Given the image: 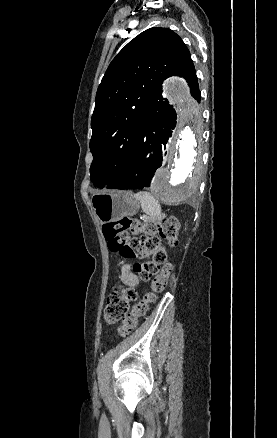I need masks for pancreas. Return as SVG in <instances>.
Here are the masks:
<instances>
[{
  "label": "pancreas",
  "mask_w": 277,
  "mask_h": 438,
  "mask_svg": "<svg viewBox=\"0 0 277 438\" xmlns=\"http://www.w3.org/2000/svg\"><path fill=\"white\" fill-rule=\"evenodd\" d=\"M146 220L149 223H155V222H157L158 217L155 214H149V215H147Z\"/></svg>",
  "instance_id": "cf45deb5"
}]
</instances>
